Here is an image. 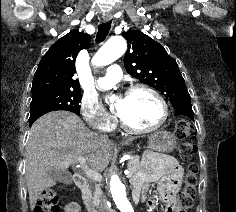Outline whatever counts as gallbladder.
Wrapping results in <instances>:
<instances>
[{
    "mask_svg": "<svg viewBox=\"0 0 236 212\" xmlns=\"http://www.w3.org/2000/svg\"><path fill=\"white\" fill-rule=\"evenodd\" d=\"M49 176L55 181H58L64 184H70L72 181L71 174L67 171H60V170L53 169L49 172Z\"/></svg>",
    "mask_w": 236,
    "mask_h": 212,
    "instance_id": "obj_1",
    "label": "gallbladder"
}]
</instances>
